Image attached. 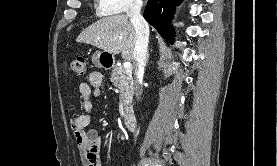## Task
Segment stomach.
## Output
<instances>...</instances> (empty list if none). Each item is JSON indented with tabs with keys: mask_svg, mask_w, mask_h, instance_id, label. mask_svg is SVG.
<instances>
[{
	"mask_svg": "<svg viewBox=\"0 0 277 166\" xmlns=\"http://www.w3.org/2000/svg\"><path fill=\"white\" fill-rule=\"evenodd\" d=\"M92 62L99 68L107 69L114 63V56L108 52L96 51L92 56Z\"/></svg>",
	"mask_w": 277,
	"mask_h": 166,
	"instance_id": "1",
	"label": "stomach"
}]
</instances>
